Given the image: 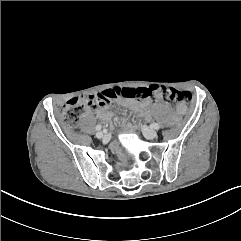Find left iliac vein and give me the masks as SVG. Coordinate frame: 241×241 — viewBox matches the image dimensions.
<instances>
[{"label":"left iliac vein","mask_w":241,"mask_h":241,"mask_svg":"<svg viewBox=\"0 0 241 241\" xmlns=\"http://www.w3.org/2000/svg\"><path fill=\"white\" fill-rule=\"evenodd\" d=\"M142 132L147 139H154L157 137V132L148 126L143 125Z\"/></svg>","instance_id":"4c4485c4"}]
</instances>
